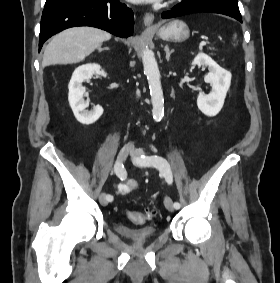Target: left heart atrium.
<instances>
[{
  "mask_svg": "<svg viewBox=\"0 0 280 283\" xmlns=\"http://www.w3.org/2000/svg\"><path fill=\"white\" fill-rule=\"evenodd\" d=\"M134 3H141V2H152V1H158V0H128Z\"/></svg>",
  "mask_w": 280,
  "mask_h": 283,
  "instance_id": "39dd6f15",
  "label": "left heart atrium"
}]
</instances>
